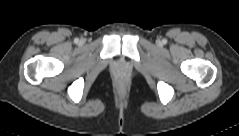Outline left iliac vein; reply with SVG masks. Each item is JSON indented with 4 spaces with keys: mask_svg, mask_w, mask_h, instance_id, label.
<instances>
[{
    "mask_svg": "<svg viewBox=\"0 0 239 136\" xmlns=\"http://www.w3.org/2000/svg\"><path fill=\"white\" fill-rule=\"evenodd\" d=\"M157 43L160 45V44H161V41H160V40H158V41H157Z\"/></svg>",
    "mask_w": 239,
    "mask_h": 136,
    "instance_id": "obj_1",
    "label": "left iliac vein"
}]
</instances>
